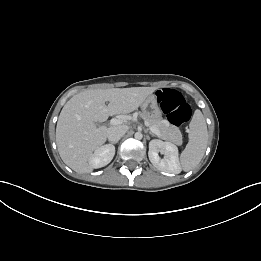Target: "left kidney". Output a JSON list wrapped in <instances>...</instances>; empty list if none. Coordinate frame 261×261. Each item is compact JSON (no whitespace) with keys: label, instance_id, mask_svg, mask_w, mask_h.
I'll return each instance as SVG.
<instances>
[{"label":"left kidney","instance_id":"obj_1","mask_svg":"<svg viewBox=\"0 0 261 261\" xmlns=\"http://www.w3.org/2000/svg\"><path fill=\"white\" fill-rule=\"evenodd\" d=\"M159 152L164 155L163 159L159 157ZM148 156L151 163L160 171L172 174L181 172L178 148L170 142H163L157 139L151 140L149 142Z\"/></svg>","mask_w":261,"mask_h":261}]
</instances>
